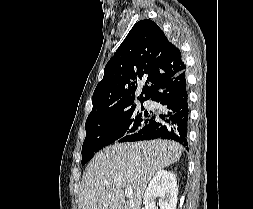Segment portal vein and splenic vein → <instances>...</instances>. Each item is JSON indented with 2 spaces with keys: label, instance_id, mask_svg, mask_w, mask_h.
Returning <instances> with one entry per match:
<instances>
[{
  "label": "portal vein and splenic vein",
  "instance_id": "obj_1",
  "mask_svg": "<svg viewBox=\"0 0 253 209\" xmlns=\"http://www.w3.org/2000/svg\"><path fill=\"white\" fill-rule=\"evenodd\" d=\"M132 194H133V190L131 188L125 189V195H126V197L129 198V197L132 196Z\"/></svg>",
  "mask_w": 253,
  "mask_h": 209
}]
</instances>
